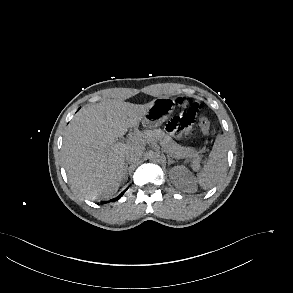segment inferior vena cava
<instances>
[{"instance_id":"602c4592","label":"inferior vena cava","mask_w":293,"mask_h":293,"mask_svg":"<svg viewBox=\"0 0 293 293\" xmlns=\"http://www.w3.org/2000/svg\"><path fill=\"white\" fill-rule=\"evenodd\" d=\"M142 156V152L137 149L128 150L125 154V161L129 164L138 161Z\"/></svg>"}]
</instances>
